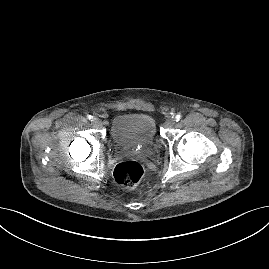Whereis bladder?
Listing matches in <instances>:
<instances>
[{
    "mask_svg": "<svg viewBox=\"0 0 269 269\" xmlns=\"http://www.w3.org/2000/svg\"><path fill=\"white\" fill-rule=\"evenodd\" d=\"M157 136L155 120L145 113H125L114 117L110 127L113 144L121 149L151 147Z\"/></svg>",
    "mask_w": 269,
    "mask_h": 269,
    "instance_id": "1",
    "label": "bladder"
}]
</instances>
